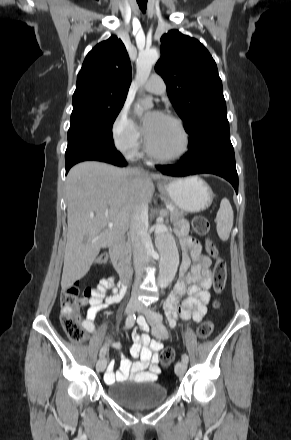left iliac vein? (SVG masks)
<instances>
[{
	"mask_svg": "<svg viewBox=\"0 0 291 440\" xmlns=\"http://www.w3.org/2000/svg\"><path fill=\"white\" fill-rule=\"evenodd\" d=\"M138 312L142 313L146 318L147 321L149 322V324L152 327V332L160 338H164V335L162 333L159 332V330L157 329V327L160 325L161 321H162V316L161 314L145 308L144 306H140ZM186 371V363L183 361H180L176 364L175 366V373L177 376L181 377L184 375Z\"/></svg>",
	"mask_w": 291,
	"mask_h": 440,
	"instance_id": "obj_1",
	"label": "left iliac vein"
}]
</instances>
